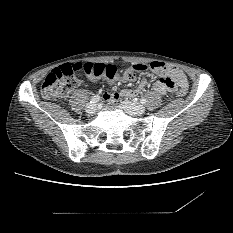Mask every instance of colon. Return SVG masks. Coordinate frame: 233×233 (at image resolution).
Returning a JSON list of instances; mask_svg holds the SVG:
<instances>
[{
    "label": "colon",
    "instance_id": "colon-1",
    "mask_svg": "<svg viewBox=\"0 0 233 233\" xmlns=\"http://www.w3.org/2000/svg\"><path fill=\"white\" fill-rule=\"evenodd\" d=\"M155 69L154 63H140L132 68L122 71L121 75L125 80H132L138 71H149ZM83 73L92 78L112 79L118 70L114 65L91 63V62H75L61 66L52 70L41 86V94L45 99H55L67 97L76 85V76ZM186 87H182L178 91V95H185Z\"/></svg>",
    "mask_w": 233,
    "mask_h": 233
}]
</instances>
